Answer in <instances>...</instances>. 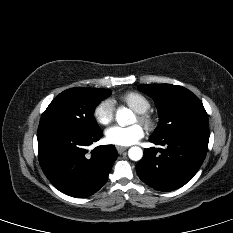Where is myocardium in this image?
I'll return each mask as SVG.
<instances>
[{"label":"myocardium","instance_id":"f54148a6","mask_svg":"<svg viewBox=\"0 0 233 233\" xmlns=\"http://www.w3.org/2000/svg\"><path fill=\"white\" fill-rule=\"evenodd\" d=\"M137 120L148 130L152 131L156 128L157 119L155 115L149 111L137 113Z\"/></svg>","mask_w":233,"mask_h":233}]
</instances>
